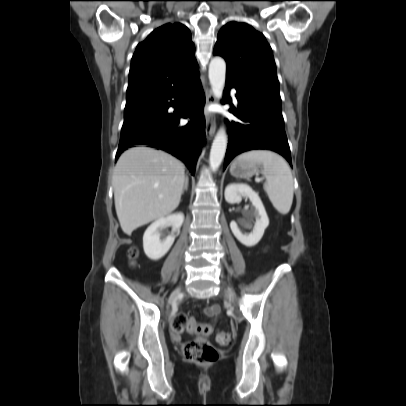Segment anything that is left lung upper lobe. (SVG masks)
Segmentation results:
<instances>
[{"instance_id":"5c2ea615","label":"left lung upper lobe","mask_w":406,"mask_h":406,"mask_svg":"<svg viewBox=\"0 0 406 406\" xmlns=\"http://www.w3.org/2000/svg\"><path fill=\"white\" fill-rule=\"evenodd\" d=\"M214 55L226 60V80L281 102L274 57L262 33L246 23L229 22L218 33Z\"/></svg>"}]
</instances>
